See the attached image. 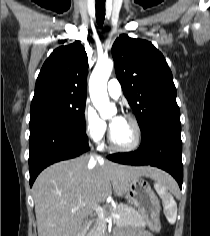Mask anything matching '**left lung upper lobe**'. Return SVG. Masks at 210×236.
<instances>
[{"instance_id": "left-lung-upper-lobe-1", "label": "left lung upper lobe", "mask_w": 210, "mask_h": 236, "mask_svg": "<svg viewBox=\"0 0 210 236\" xmlns=\"http://www.w3.org/2000/svg\"><path fill=\"white\" fill-rule=\"evenodd\" d=\"M116 76L140 129L161 118H180L171 70L155 46L121 35L112 46Z\"/></svg>"}]
</instances>
